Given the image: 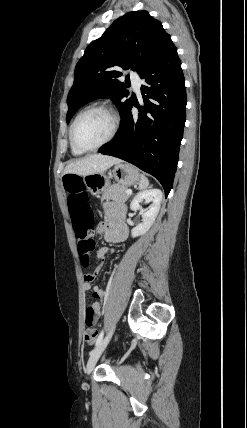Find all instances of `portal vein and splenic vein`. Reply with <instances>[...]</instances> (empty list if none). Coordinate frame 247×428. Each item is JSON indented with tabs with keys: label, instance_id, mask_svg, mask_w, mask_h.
Wrapping results in <instances>:
<instances>
[{
	"label": "portal vein and splenic vein",
	"instance_id": "1",
	"mask_svg": "<svg viewBox=\"0 0 247 428\" xmlns=\"http://www.w3.org/2000/svg\"><path fill=\"white\" fill-rule=\"evenodd\" d=\"M126 193L130 195V194H132V190H130V189L126 190Z\"/></svg>",
	"mask_w": 247,
	"mask_h": 428
}]
</instances>
